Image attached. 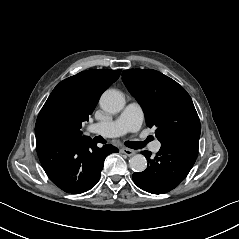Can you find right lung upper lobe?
<instances>
[{"label":"right lung upper lobe","mask_w":239,"mask_h":239,"mask_svg":"<svg viewBox=\"0 0 239 239\" xmlns=\"http://www.w3.org/2000/svg\"><path fill=\"white\" fill-rule=\"evenodd\" d=\"M120 72L121 70L108 69L88 70L61 81L38 115L35 125L36 140L57 135L50 127V118L56 113H67L79 117L82 122L88 121V116L96 107L102 91L118 79ZM81 135L79 129L60 136L77 139Z\"/></svg>","instance_id":"obj_1"}]
</instances>
